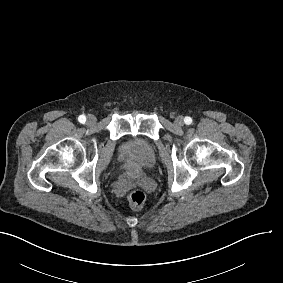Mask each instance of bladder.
Returning <instances> with one entry per match:
<instances>
[{"mask_svg": "<svg viewBox=\"0 0 283 283\" xmlns=\"http://www.w3.org/2000/svg\"><path fill=\"white\" fill-rule=\"evenodd\" d=\"M118 157L127 162L128 178L140 179L157 163L156 145L143 135L125 138L119 146Z\"/></svg>", "mask_w": 283, "mask_h": 283, "instance_id": "obj_1", "label": "bladder"}]
</instances>
